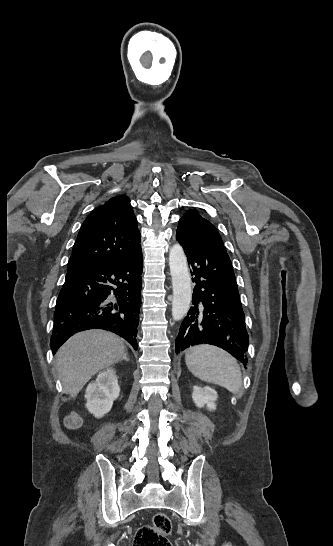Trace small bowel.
<instances>
[{
	"label": "small bowel",
	"mask_w": 333,
	"mask_h": 546,
	"mask_svg": "<svg viewBox=\"0 0 333 546\" xmlns=\"http://www.w3.org/2000/svg\"><path fill=\"white\" fill-rule=\"evenodd\" d=\"M68 425L69 427H73L77 423V418H68Z\"/></svg>",
	"instance_id": "small-bowel-1"
}]
</instances>
